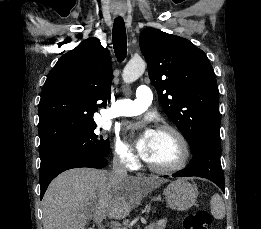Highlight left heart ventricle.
<instances>
[{"mask_svg":"<svg viewBox=\"0 0 261 229\" xmlns=\"http://www.w3.org/2000/svg\"><path fill=\"white\" fill-rule=\"evenodd\" d=\"M179 155L180 150L174 137L170 133L156 131L145 158L154 165L168 166L174 164Z\"/></svg>","mask_w":261,"mask_h":229,"instance_id":"left-heart-ventricle-1","label":"left heart ventricle"}]
</instances>
